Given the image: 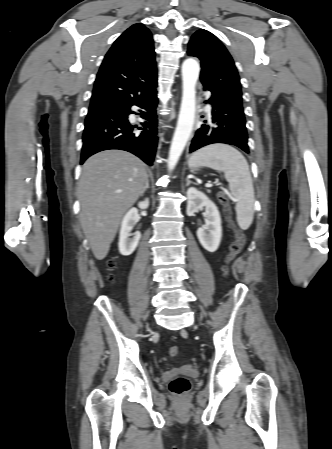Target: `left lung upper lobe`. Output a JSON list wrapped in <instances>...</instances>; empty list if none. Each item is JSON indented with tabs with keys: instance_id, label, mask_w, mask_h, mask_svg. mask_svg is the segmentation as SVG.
Returning a JSON list of instances; mask_svg holds the SVG:
<instances>
[{
	"instance_id": "left-lung-upper-lobe-1",
	"label": "left lung upper lobe",
	"mask_w": 332,
	"mask_h": 449,
	"mask_svg": "<svg viewBox=\"0 0 332 449\" xmlns=\"http://www.w3.org/2000/svg\"><path fill=\"white\" fill-rule=\"evenodd\" d=\"M188 55L201 61L200 79L212 93L242 106L240 79L225 46L207 30H198L189 41Z\"/></svg>"
}]
</instances>
